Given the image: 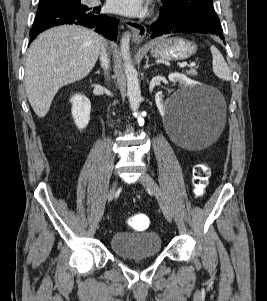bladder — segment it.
Here are the masks:
<instances>
[{
	"label": "bladder",
	"instance_id": "31cf9c89",
	"mask_svg": "<svg viewBox=\"0 0 267 301\" xmlns=\"http://www.w3.org/2000/svg\"><path fill=\"white\" fill-rule=\"evenodd\" d=\"M110 247L122 259L154 257L162 251V240L153 231L140 233L117 232L110 238Z\"/></svg>",
	"mask_w": 267,
	"mask_h": 301
}]
</instances>
